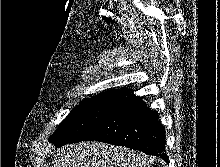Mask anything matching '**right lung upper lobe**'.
<instances>
[{
	"label": "right lung upper lobe",
	"mask_w": 220,
	"mask_h": 167,
	"mask_svg": "<svg viewBox=\"0 0 220 167\" xmlns=\"http://www.w3.org/2000/svg\"><path fill=\"white\" fill-rule=\"evenodd\" d=\"M128 93H130V90H112V91L100 94L98 96H95L94 98L117 100L118 98H120Z\"/></svg>",
	"instance_id": "obj_1"
}]
</instances>
